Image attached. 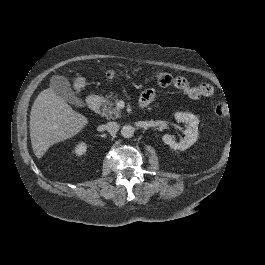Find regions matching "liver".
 <instances>
[{
    "label": "liver",
    "mask_w": 265,
    "mask_h": 265,
    "mask_svg": "<svg viewBox=\"0 0 265 265\" xmlns=\"http://www.w3.org/2000/svg\"><path fill=\"white\" fill-rule=\"evenodd\" d=\"M88 119L74 111L50 87L35 99L30 113V139L33 152L41 158L55 143L79 133Z\"/></svg>",
    "instance_id": "obj_1"
}]
</instances>
